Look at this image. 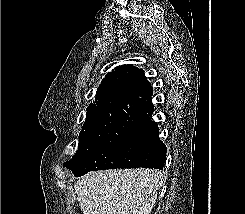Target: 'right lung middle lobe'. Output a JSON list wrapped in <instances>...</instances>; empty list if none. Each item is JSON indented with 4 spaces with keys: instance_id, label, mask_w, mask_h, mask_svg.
<instances>
[{
    "instance_id": "obj_1",
    "label": "right lung middle lobe",
    "mask_w": 245,
    "mask_h": 214,
    "mask_svg": "<svg viewBox=\"0 0 245 214\" xmlns=\"http://www.w3.org/2000/svg\"><path fill=\"white\" fill-rule=\"evenodd\" d=\"M127 137L126 128H117L102 135H80L76 154L63 165L76 176L89 171L115 169L120 163L117 147Z\"/></svg>"
}]
</instances>
